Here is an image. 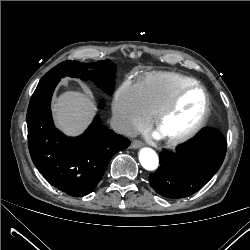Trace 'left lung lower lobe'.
<instances>
[{"instance_id": "obj_1", "label": "left lung lower lobe", "mask_w": 250, "mask_h": 250, "mask_svg": "<svg viewBox=\"0 0 250 250\" xmlns=\"http://www.w3.org/2000/svg\"><path fill=\"white\" fill-rule=\"evenodd\" d=\"M227 142L216 130L203 129L185 146L160 153V166L149 176L153 189L167 198H183L200 190L219 170Z\"/></svg>"}]
</instances>
